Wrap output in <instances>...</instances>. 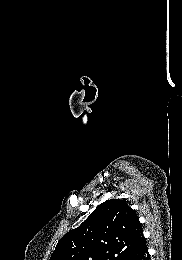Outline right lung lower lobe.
I'll return each instance as SVG.
<instances>
[{"label":"right lung lower lobe","mask_w":182,"mask_h":260,"mask_svg":"<svg viewBox=\"0 0 182 260\" xmlns=\"http://www.w3.org/2000/svg\"><path fill=\"white\" fill-rule=\"evenodd\" d=\"M150 255L146 247V241L142 242L136 249L128 253L123 260H149Z\"/></svg>","instance_id":"1"}]
</instances>
